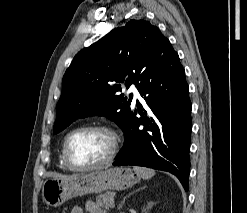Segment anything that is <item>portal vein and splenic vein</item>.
<instances>
[{
  "label": "portal vein and splenic vein",
  "instance_id": "18ae733b",
  "mask_svg": "<svg viewBox=\"0 0 247 213\" xmlns=\"http://www.w3.org/2000/svg\"><path fill=\"white\" fill-rule=\"evenodd\" d=\"M110 207H111V208H114V207H115V203H114L113 200L110 202Z\"/></svg>",
  "mask_w": 247,
  "mask_h": 213
}]
</instances>
